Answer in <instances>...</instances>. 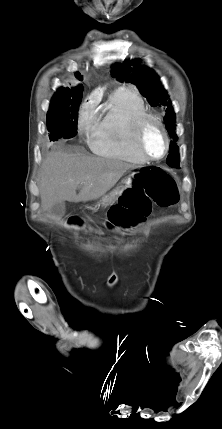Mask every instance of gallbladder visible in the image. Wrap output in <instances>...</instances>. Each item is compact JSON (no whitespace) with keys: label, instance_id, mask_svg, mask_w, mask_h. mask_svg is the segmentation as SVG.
<instances>
[{"label":"gallbladder","instance_id":"gallbladder-1","mask_svg":"<svg viewBox=\"0 0 222 429\" xmlns=\"http://www.w3.org/2000/svg\"><path fill=\"white\" fill-rule=\"evenodd\" d=\"M65 202H59L51 208V214L62 217L65 214Z\"/></svg>","mask_w":222,"mask_h":429}]
</instances>
